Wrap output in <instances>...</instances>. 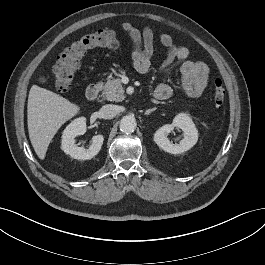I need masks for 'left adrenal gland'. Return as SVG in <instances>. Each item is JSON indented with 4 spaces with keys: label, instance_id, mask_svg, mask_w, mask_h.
Instances as JSON below:
<instances>
[{
    "label": "left adrenal gland",
    "instance_id": "a2214340",
    "mask_svg": "<svg viewBox=\"0 0 265 265\" xmlns=\"http://www.w3.org/2000/svg\"><path fill=\"white\" fill-rule=\"evenodd\" d=\"M156 110V108H152V109H148L144 112L145 115H149L151 114L152 112H154Z\"/></svg>",
    "mask_w": 265,
    "mask_h": 265
}]
</instances>
